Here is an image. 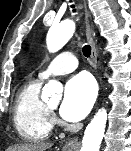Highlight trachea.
<instances>
[{
  "label": "trachea",
  "instance_id": "obj_1",
  "mask_svg": "<svg viewBox=\"0 0 131 151\" xmlns=\"http://www.w3.org/2000/svg\"><path fill=\"white\" fill-rule=\"evenodd\" d=\"M71 7L73 8V12L76 11V9L74 8V5H71ZM83 54L85 57H89L91 55V46L90 45H85L82 49Z\"/></svg>",
  "mask_w": 131,
  "mask_h": 151
}]
</instances>
